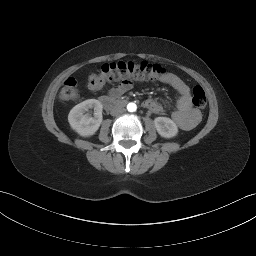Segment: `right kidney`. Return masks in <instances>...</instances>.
<instances>
[{
    "instance_id": "obj_1",
    "label": "right kidney",
    "mask_w": 256,
    "mask_h": 256,
    "mask_svg": "<svg viewBox=\"0 0 256 256\" xmlns=\"http://www.w3.org/2000/svg\"><path fill=\"white\" fill-rule=\"evenodd\" d=\"M102 108L101 102L96 99H88L77 104L68 115L71 128L84 137L95 134L102 123ZM89 109L94 110L93 116L87 113Z\"/></svg>"
}]
</instances>
